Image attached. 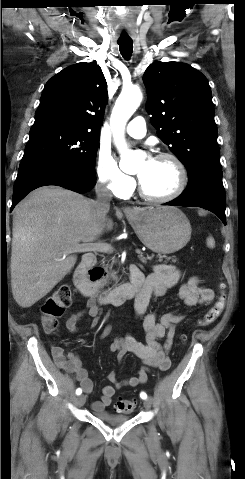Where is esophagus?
Segmentation results:
<instances>
[{"mask_svg": "<svg viewBox=\"0 0 245 479\" xmlns=\"http://www.w3.org/2000/svg\"><path fill=\"white\" fill-rule=\"evenodd\" d=\"M124 212H125V213H132L133 210H132V208H130V207H125V208H124Z\"/></svg>", "mask_w": 245, "mask_h": 479, "instance_id": "obj_1", "label": "esophagus"}]
</instances>
